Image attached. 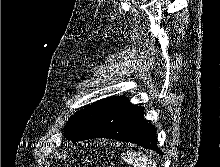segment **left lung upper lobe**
Masks as SVG:
<instances>
[{"mask_svg": "<svg viewBox=\"0 0 220 167\" xmlns=\"http://www.w3.org/2000/svg\"><path fill=\"white\" fill-rule=\"evenodd\" d=\"M114 99L115 97L97 101L76 112L66 123L64 129L66 139L71 141L80 139Z\"/></svg>", "mask_w": 220, "mask_h": 167, "instance_id": "obj_1", "label": "left lung upper lobe"}]
</instances>
